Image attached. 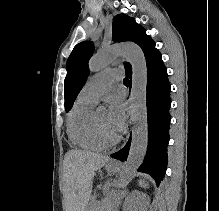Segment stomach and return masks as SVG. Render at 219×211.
<instances>
[{
	"mask_svg": "<svg viewBox=\"0 0 219 211\" xmlns=\"http://www.w3.org/2000/svg\"><path fill=\"white\" fill-rule=\"evenodd\" d=\"M106 170L111 173L117 172L119 170V165L115 162H109L106 164Z\"/></svg>",
	"mask_w": 219,
	"mask_h": 211,
	"instance_id": "obj_1",
	"label": "stomach"
}]
</instances>
